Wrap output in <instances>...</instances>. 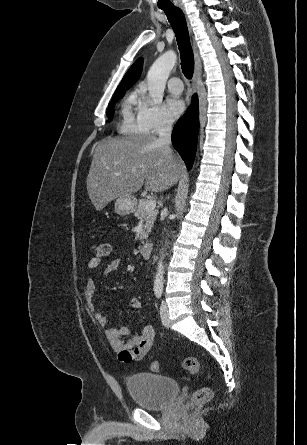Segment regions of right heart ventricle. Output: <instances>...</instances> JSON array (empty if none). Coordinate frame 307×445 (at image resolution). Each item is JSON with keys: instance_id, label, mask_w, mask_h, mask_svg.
Masks as SVG:
<instances>
[{"instance_id": "e07e8e85", "label": "right heart ventricle", "mask_w": 307, "mask_h": 445, "mask_svg": "<svg viewBox=\"0 0 307 445\" xmlns=\"http://www.w3.org/2000/svg\"><path fill=\"white\" fill-rule=\"evenodd\" d=\"M122 105L129 106L130 108L126 107L123 109V121L120 126V132L126 134L141 131L139 122L135 119L133 113L134 111L138 115V112L142 107V103L138 93H136L135 91L129 92L122 100Z\"/></svg>"}]
</instances>
